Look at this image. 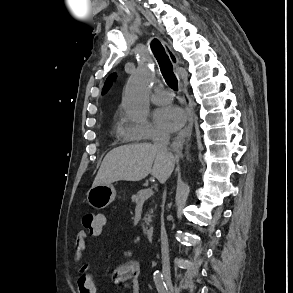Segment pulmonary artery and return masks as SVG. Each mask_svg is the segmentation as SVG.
I'll list each match as a JSON object with an SVG mask.
<instances>
[{
	"instance_id": "1",
	"label": "pulmonary artery",
	"mask_w": 293,
	"mask_h": 293,
	"mask_svg": "<svg viewBox=\"0 0 293 293\" xmlns=\"http://www.w3.org/2000/svg\"><path fill=\"white\" fill-rule=\"evenodd\" d=\"M155 104H167L172 101V94L165 89H157L151 96Z\"/></svg>"
}]
</instances>
